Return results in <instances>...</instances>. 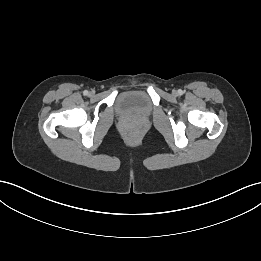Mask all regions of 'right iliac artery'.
<instances>
[{"instance_id":"obj_1","label":"right iliac artery","mask_w":261,"mask_h":261,"mask_svg":"<svg viewBox=\"0 0 261 261\" xmlns=\"http://www.w3.org/2000/svg\"><path fill=\"white\" fill-rule=\"evenodd\" d=\"M88 93H89V92H88L87 90H85V91L83 92L84 95H88Z\"/></svg>"}]
</instances>
